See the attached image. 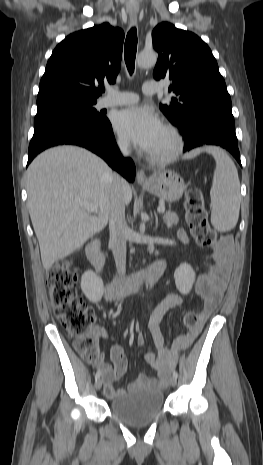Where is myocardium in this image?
<instances>
[{
	"mask_svg": "<svg viewBox=\"0 0 263 465\" xmlns=\"http://www.w3.org/2000/svg\"><path fill=\"white\" fill-rule=\"evenodd\" d=\"M164 129L171 136L174 145L172 150L165 155H154L151 153L148 155L149 160L157 165H167L176 161L181 156L184 149V139L180 131L171 124H166Z\"/></svg>",
	"mask_w": 263,
	"mask_h": 465,
	"instance_id": "myocardium-1",
	"label": "myocardium"
}]
</instances>
